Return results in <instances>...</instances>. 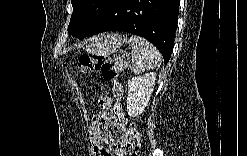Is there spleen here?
Instances as JSON below:
<instances>
[{
    "mask_svg": "<svg viewBox=\"0 0 247 156\" xmlns=\"http://www.w3.org/2000/svg\"><path fill=\"white\" fill-rule=\"evenodd\" d=\"M130 41L132 42L131 68L134 74L154 69L161 64V54L146 39L132 35Z\"/></svg>",
    "mask_w": 247,
    "mask_h": 156,
    "instance_id": "spleen-1",
    "label": "spleen"
}]
</instances>
